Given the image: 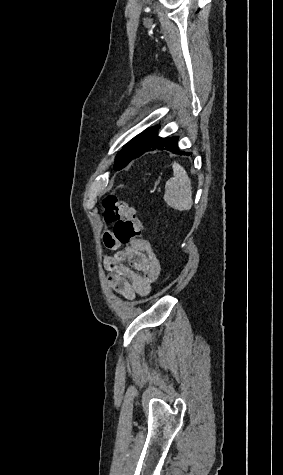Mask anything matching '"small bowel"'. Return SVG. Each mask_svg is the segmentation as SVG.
<instances>
[{"instance_id": "small-bowel-1", "label": "small bowel", "mask_w": 283, "mask_h": 475, "mask_svg": "<svg viewBox=\"0 0 283 475\" xmlns=\"http://www.w3.org/2000/svg\"><path fill=\"white\" fill-rule=\"evenodd\" d=\"M114 234L111 223L102 225L101 242L105 248L116 250L114 254L103 257L109 287L127 300L146 296L161 272L157 255L152 246L150 251H139V242H149L147 239L123 245V241L115 239Z\"/></svg>"}]
</instances>
